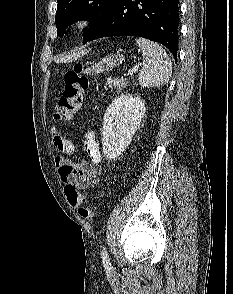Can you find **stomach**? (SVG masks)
<instances>
[{
    "label": "stomach",
    "instance_id": "0dacf381",
    "mask_svg": "<svg viewBox=\"0 0 233 294\" xmlns=\"http://www.w3.org/2000/svg\"><path fill=\"white\" fill-rule=\"evenodd\" d=\"M124 59V56L119 53L114 56H107L91 67H88L86 69V73L90 75H97L105 71H109L113 67L119 66L124 61Z\"/></svg>",
    "mask_w": 233,
    "mask_h": 294
}]
</instances>
